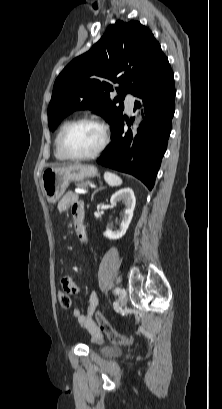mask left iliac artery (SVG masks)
Returning a JSON list of instances; mask_svg holds the SVG:
<instances>
[{"label":"left iliac artery","instance_id":"1","mask_svg":"<svg viewBox=\"0 0 222 409\" xmlns=\"http://www.w3.org/2000/svg\"><path fill=\"white\" fill-rule=\"evenodd\" d=\"M114 292H115V294H120V293H121V289H120V288H116V289L114 290Z\"/></svg>","mask_w":222,"mask_h":409}]
</instances>
